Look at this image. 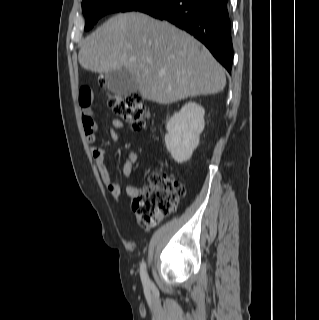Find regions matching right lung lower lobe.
Returning <instances> with one entry per match:
<instances>
[{
  "label": "right lung lower lobe",
  "instance_id": "obj_1",
  "mask_svg": "<svg viewBox=\"0 0 319 320\" xmlns=\"http://www.w3.org/2000/svg\"><path fill=\"white\" fill-rule=\"evenodd\" d=\"M227 3L228 0H158L137 11L189 32L230 72L233 46Z\"/></svg>",
  "mask_w": 319,
  "mask_h": 320
}]
</instances>
